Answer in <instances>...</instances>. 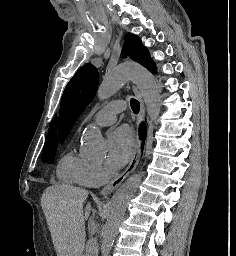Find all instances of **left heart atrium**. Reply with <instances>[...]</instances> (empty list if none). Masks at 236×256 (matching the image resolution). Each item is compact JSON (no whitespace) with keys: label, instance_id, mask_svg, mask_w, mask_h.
<instances>
[{"label":"left heart atrium","instance_id":"left-heart-atrium-1","mask_svg":"<svg viewBox=\"0 0 236 256\" xmlns=\"http://www.w3.org/2000/svg\"><path fill=\"white\" fill-rule=\"evenodd\" d=\"M135 140L132 130L122 126L108 137L107 163L111 169L123 167L133 155Z\"/></svg>","mask_w":236,"mask_h":256}]
</instances>
